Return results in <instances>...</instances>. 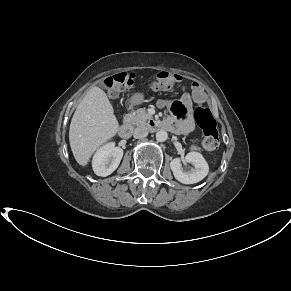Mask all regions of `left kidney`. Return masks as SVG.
<instances>
[{"label":"left kidney","mask_w":291,"mask_h":291,"mask_svg":"<svg viewBox=\"0 0 291 291\" xmlns=\"http://www.w3.org/2000/svg\"><path fill=\"white\" fill-rule=\"evenodd\" d=\"M185 161L192 164V168L184 170L180 158L170 162V168L174 177L183 184H194L204 179L209 171V166L204 157L198 152H189Z\"/></svg>","instance_id":"left-kidney-1"}]
</instances>
